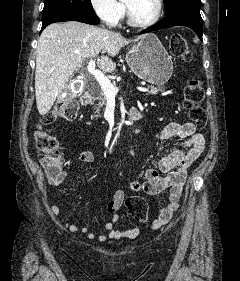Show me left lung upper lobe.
<instances>
[{
	"mask_svg": "<svg viewBox=\"0 0 240 281\" xmlns=\"http://www.w3.org/2000/svg\"><path fill=\"white\" fill-rule=\"evenodd\" d=\"M184 4H194L201 6V0H164L165 12L168 14L175 8Z\"/></svg>",
	"mask_w": 240,
	"mask_h": 281,
	"instance_id": "5c2ea615",
	"label": "left lung upper lobe"
}]
</instances>
